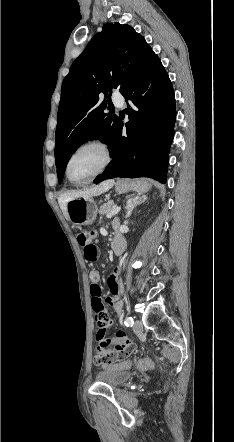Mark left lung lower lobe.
<instances>
[{
    "label": "left lung lower lobe",
    "mask_w": 234,
    "mask_h": 442,
    "mask_svg": "<svg viewBox=\"0 0 234 442\" xmlns=\"http://www.w3.org/2000/svg\"><path fill=\"white\" fill-rule=\"evenodd\" d=\"M121 94L130 101L127 136H122L123 123L119 121L110 150L113 159L94 183L114 177H150L165 183L176 120L175 95L155 53Z\"/></svg>",
    "instance_id": "left-lung-lower-lobe-1"
}]
</instances>
